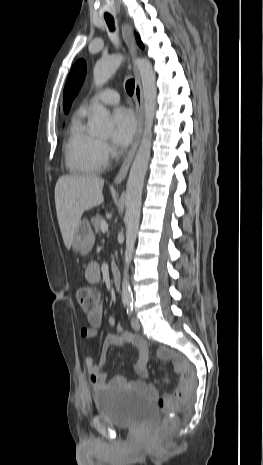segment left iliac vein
Instances as JSON below:
<instances>
[{
	"label": "left iliac vein",
	"mask_w": 263,
	"mask_h": 465,
	"mask_svg": "<svg viewBox=\"0 0 263 465\" xmlns=\"http://www.w3.org/2000/svg\"><path fill=\"white\" fill-rule=\"evenodd\" d=\"M131 326L134 330H140L141 324L137 317H132L131 319Z\"/></svg>",
	"instance_id": "1"
}]
</instances>
